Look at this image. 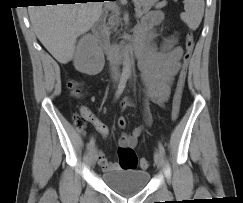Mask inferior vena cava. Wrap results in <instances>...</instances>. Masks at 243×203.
Segmentation results:
<instances>
[{
  "mask_svg": "<svg viewBox=\"0 0 243 203\" xmlns=\"http://www.w3.org/2000/svg\"><path fill=\"white\" fill-rule=\"evenodd\" d=\"M111 69L114 73H116V71L118 70V65L115 61L111 63Z\"/></svg>",
  "mask_w": 243,
  "mask_h": 203,
  "instance_id": "602c4592",
  "label": "inferior vena cava"
}]
</instances>
